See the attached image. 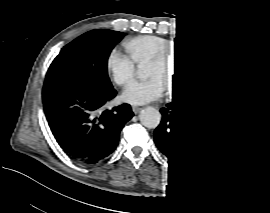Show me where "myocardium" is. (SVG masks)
Wrapping results in <instances>:
<instances>
[{
    "mask_svg": "<svg viewBox=\"0 0 270 213\" xmlns=\"http://www.w3.org/2000/svg\"><path fill=\"white\" fill-rule=\"evenodd\" d=\"M178 53H186V50L184 48L181 47H176L173 48L171 50V58L169 56V58H166L165 55H161V56H156L154 57L150 62L149 65L150 66H160L163 67L165 69H168L170 66V63L172 61V59L175 57V55H177ZM191 65H189L188 69H187V75L186 78L183 80V82L181 83V85L175 87L174 85H168V90L171 94L175 95L179 92H181L182 90H184L185 88L188 87L189 83H190V76H191Z\"/></svg>",
    "mask_w": 270,
    "mask_h": 213,
    "instance_id": "f54148a6",
    "label": "myocardium"
}]
</instances>
